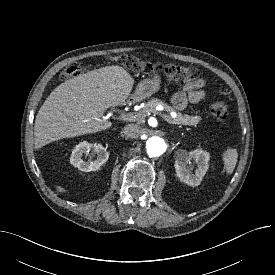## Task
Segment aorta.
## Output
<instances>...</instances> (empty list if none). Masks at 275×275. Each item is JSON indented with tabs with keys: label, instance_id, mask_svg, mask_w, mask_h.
Listing matches in <instances>:
<instances>
[{
	"label": "aorta",
	"instance_id": "762f6f07",
	"mask_svg": "<svg viewBox=\"0 0 275 275\" xmlns=\"http://www.w3.org/2000/svg\"><path fill=\"white\" fill-rule=\"evenodd\" d=\"M167 149L165 140L159 136H152L146 142V151L150 157H159Z\"/></svg>",
	"mask_w": 275,
	"mask_h": 275
}]
</instances>
